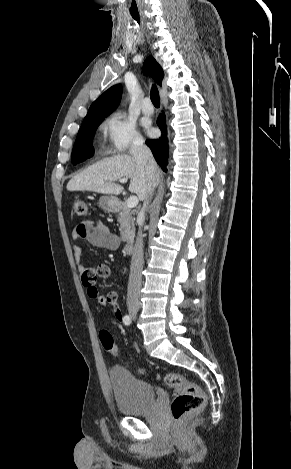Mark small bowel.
Returning <instances> with one entry per match:
<instances>
[{"label":"small bowel","mask_w":291,"mask_h":469,"mask_svg":"<svg viewBox=\"0 0 291 469\" xmlns=\"http://www.w3.org/2000/svg\"><path fill=\"white\" fill-rule=\"evenodd\" d=\"M74 241L86 240L92 246L97 248L115 250L119 246V238L112 233L109 228L101 222L85 220L78 223L72 232ZM73 256L78 271L81 273L83 286L86 288L90 298L99 296L105 301V306L113 307L115 320L123 322V314L118 306V295L115 291H110L105 295L100 294L97 288L98 279H106L110 276V268L106 264H98L94 267H86L81 263L82 249L78 244L72 247Z\"/></svg>","instance_id":"c3829d8e"}]
</instances>
